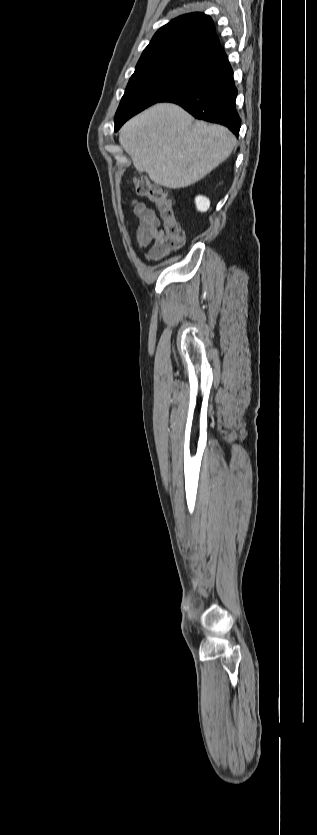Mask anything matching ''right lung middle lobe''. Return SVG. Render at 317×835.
Here are the masks:
<instances>
[{"label": "right lung middle lobe", "mask_w": 317, "mask_h": 835, "mask_svg": "<svg viewBox=\"0 0 317 835\" xmlns=\"http://www.w3.org/2000/svg\"><path fill=\"white\" fill-rule=\"evenodd\" d=\"M204 80L206 76L190 58L135 71L116 112L115 131L145 108Z\"/></svg>", "instance_id": "dd1d6c3e"}]
</instances>
